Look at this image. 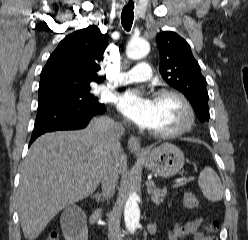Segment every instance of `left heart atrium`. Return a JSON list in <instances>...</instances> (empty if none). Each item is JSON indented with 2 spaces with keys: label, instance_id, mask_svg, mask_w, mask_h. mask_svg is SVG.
Returning a JSON list of instances; mask_svg holds the SVG:
<instances>
[{
  "label": "left heart atrium",
  "instance_id": "39dd6f15",
  "mask_svg": "<svg viewBox=\"0 0 248 240\" xmlns=\"http://www.w3.org/2000/svg\"><path fill=\"white\" fill-rule=\"evenodd\" d=\"M119 111L128 119L143 128H152L156 121L155 98L140 90H128L117 101Z\"/></svg>",
  "mask_w": 248,
  "mask_h": 240
}]
</instances>
